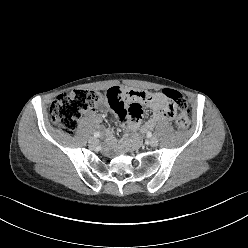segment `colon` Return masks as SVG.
Segmentation results:
<instances>
[{
  "mask_svg": "<svg viewBox=\"0 0 248 248\" xmlns=\"http://www.w3.org/2000/svg\"><path fill=\"white\" fill-rule=\"evenodd\" d=\"M163 94L168 99L170 109L173 112L177 110V127L181 130L187 129L190 121L188 118V106L184 97L173 89H165ZM101 98L102 95L100 93L86 89L62 93L50 106L49 114L51 121L63 132L73 134L82 113L91 109Z\"/></svg>",
  "mask_w": 248,
  "mask_h": 248,
  "instance_id": "obj_1",
  "label": "colon"
}]
</instances>
